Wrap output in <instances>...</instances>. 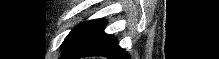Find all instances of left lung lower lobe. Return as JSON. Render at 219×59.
Segmentation results:
<instances>
[{
  "instance_id": "left-lung-lower-lobe-1",
  "label": "left lung lower lobe",
  "mask_w": 219,
  "mask_h": 59,
  "mask_svg": "<svg viewBox=\"0 0 219 59\" xmlns=\"http://www.w3.org/2000/svg\"><path fill=\"white\" fill-rule=\"evenodd\" d=\"M106 20L100 19L92 33L66 59H79L90 56H104L111 59H130L114 36L104 32Z\"/></svg>"
}]
</instances>
